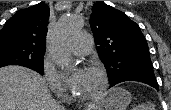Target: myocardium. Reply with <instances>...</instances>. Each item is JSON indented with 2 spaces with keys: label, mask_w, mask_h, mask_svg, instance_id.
<instances>
[{
  "label": "myocardium",
  "mask_w": 171,
  "mask_h": 110,
  "mask_svg": "<svg viewBox=\"0 0 171 110\" xmlns=\"http://www.w3.org/2000/svg\"><path fill=\"white\" fill-rule=\"evenodd\" d=\"M88 69L93 70L98 73L101 79V85L95 93L88 95V96H78L72 91L71 98L77 102L88 103V102L96 101L104 95V93L106 92L108 88L109 76H108L107 71L103 67L97 66V65H91L88 67Z\"/></svg>",
  "instance_id": "obj_1"
}]
</instances>
